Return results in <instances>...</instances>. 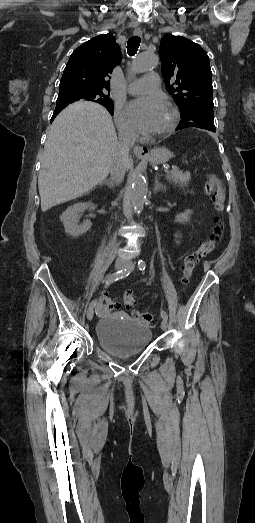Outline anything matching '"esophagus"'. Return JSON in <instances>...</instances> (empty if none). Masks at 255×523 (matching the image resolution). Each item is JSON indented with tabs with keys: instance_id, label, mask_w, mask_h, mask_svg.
Masks as SVG:
<instances>
[{
	"instance_id": "obj_1",
	"label": "esophagus",
	"mask_w": 255,
	"mask_h": 523,
	"mask_svg": "<svg viewBox=\"0 0 255 523\" xmlns=\"http://www.w3.org/2000/svg\"><path fill=\"white\" fill-rule=\"evenodd\" d=\"M134 35L141 37L142 36V30L141 28H135ZM134 153L138 157L145 158L149 155V148L146 146L136 145L134 147Z\"/></svg>"
}]
</instances>
